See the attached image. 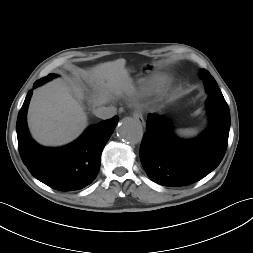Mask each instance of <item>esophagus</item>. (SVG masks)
<instances>
[{"mask_svg":"<svg viewBox=\"0 0 253 253\" xmlns=\"http://www.w3.org/2000/svg\"><path fill=\"white\" fill-rule=\"evenodd\" d=\"M133 118L142 124L144 123L143 115L140 111H135L133 113Z\"/></svg>","mask_w":253,"mask_h":253,"instance_id":"1","label":"esophagus"}]
</instances>
